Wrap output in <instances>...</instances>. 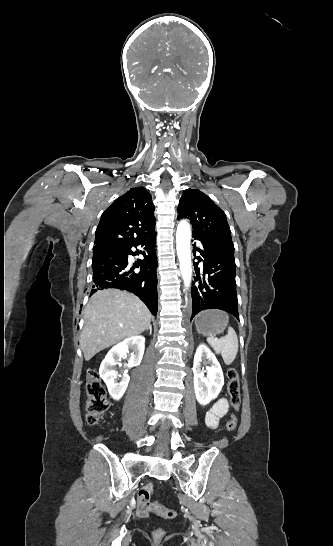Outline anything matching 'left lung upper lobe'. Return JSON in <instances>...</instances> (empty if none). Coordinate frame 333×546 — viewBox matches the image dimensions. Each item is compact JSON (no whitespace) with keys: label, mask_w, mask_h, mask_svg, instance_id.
<instances>
[{"label":"left lung upper lobe","mask_w":333,"mask_h":546,"mask_svg":"<svg viewBox=\"0 0 333 546\" xmlns=\"http://www.w3.org/2000/svg\"><path fill=\"white\" fill-rule=\"evenodd\" d=\"M187 218L193 227V233L221 242L234 252L231 231L225 213L203 192L187 189L182 194L178 206L177 219ZM217 270L225 271L226 262H220Z\"/></svg>","instance_id":"1"}]
</instances>
